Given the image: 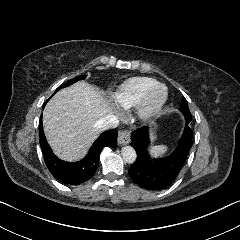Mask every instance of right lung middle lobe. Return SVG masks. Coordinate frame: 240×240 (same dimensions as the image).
I'll list each match as a JSON object with an SVG mask.
<instances>
[{
	"label": "right lung middle lobe",
	"mask_w": 240,
	"mask_h": 240,
	"mask_svg": "<svg viewBox=\"0 0 240 240\" xmlns=\"http://www.w3.org/2000/svg\"><path fill=\"white\" fill-rule=\"evenodd\" d=\"M80 79H85V75L78 76V77H76V78H74V79L66 82L65 84L61 85V86L58 88V90L61 89V88H63V87L70 86L71 84H73L74 82H76V81H78V80H80ZM55 93H56V91L54 92V94H55Z\"/></svg>",
	"instance_id": "dd1d6c3e"
}]
</instances>
